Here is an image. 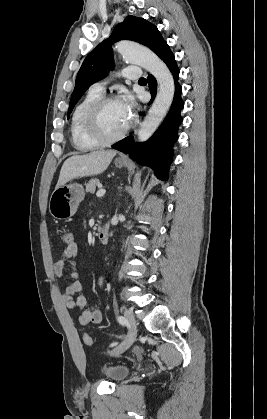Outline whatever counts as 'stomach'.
<instances>
[{
    "label": "stomach",
    "instance_id": "1",
    "mask_svg": "<svg viewBox=\"0 0 267 419\" xmlns=\"http://www.w3.org/2000/svg\"><path fill=\"white\" fill-rule=\"evenodd\" d=\"M124 165V161L115 160L117 168H122ZM84 196L83 186L78 183H69L55 188L50 197L49 212L55 219H68L76 213Z\"/></svg>",
    "mask_w": 267,
    "mask_h": 419
}]
</instances>
